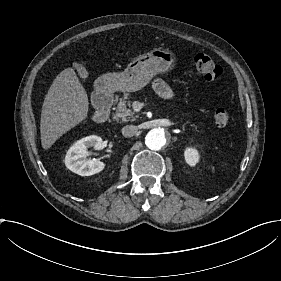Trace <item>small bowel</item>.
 <instances>
[{"mask_svg":"<svg viewBox=\"0 0 281 281\" xmlns=\"http://www.w3.org/2000/svg\"><path fill=\"white\" fill-rule=\"evenodd\" d=\"M153 88L155 89V91L160 95L162 96L163 98H166V99H172V98H175L176 94L175 92H173L168 84L163 81L162 79H155L153 81Z\"/></svg>","mask_w":281,"mask_h":281,"instance_id":"obj_1","label":"small bowel"}]
</instances>
